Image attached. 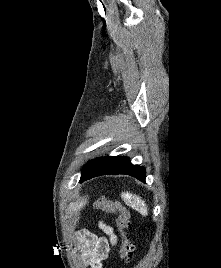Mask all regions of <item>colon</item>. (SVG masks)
Here are the masks:
<instances>
[{
	"mask_svg": "<svg viewBox=\"0 0 221 268\" xmlns=\"http://www.w3.org/2000/svg\"><path fill=\"white\" fill-rule=\"evenodd\" d=\"M94 208L108 214L117 213L115 226L121 236L120 258L122 262L129 263L133 257L134 244L127 233L130 224V213L126 207L118 202L100 196L94 202Z\"/></svg>",
	"mask_w": 221,
	"mask_h": 268,
	"instance_id": "colon-1",
	"label": "colon"
}]
</instances>
